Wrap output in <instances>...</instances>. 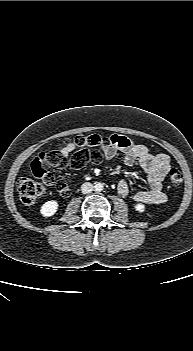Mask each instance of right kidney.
Wrapping results in <instances>:
<instances>
[{
	"instance_id": "1",
	"label": "right kidney",
	"mask_w": 193,
	"mask_h": 351,
	"mask_svg": "<svg viewBox=\"0 0 193 351\" xmlns=\"http://www.w3.org/2000/svg\"><path fill=\"white\" fill-rule=\"evenodd\" d=\"M58 206V202L55 200L47 201L42 205L40 213L44 217L53 216L57 212Z\"/></svg>"
}]
</instances>
